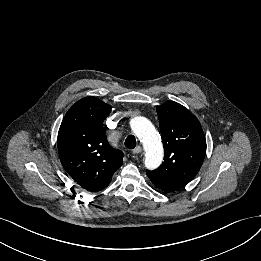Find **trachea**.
I'll list each match as a JSON object with an SVG mask.
<instances>
[{
  "mask_svg": "<svg viewBox=\"0 0 261 261\" xmlns=\"http://www.w3.org/2000/svg\"><path fill=\"white\" fill-rule=\"evenodd\" d=\"M125 146L129 149H133L136 146V139L133 135H129L125 140Z\"/></svg>",
  "mask_w": 261,
  "mask_h": 261,
  "instance_id": "1",
  "label": "trachea"
}]
</instances>
